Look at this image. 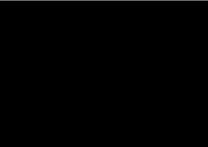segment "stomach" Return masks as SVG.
<instances>
[{
    "label": "stomach",
    "instance_id": "obj_1",
    "mask_svg": "<svg viewBox=\"0 0 208 147\" xmlns=\"http://www.w3.org/2000/svg\"><path fill=\"white\" fill-rule=\"evenodd\" d=\"M122 48L133 58L142 59L145 47L141 38L135 33H127L122 38Z\"/></svg>",
    "mask_w": 208,
    "mask_h": 147
}]
</instances>
